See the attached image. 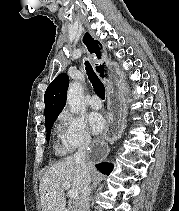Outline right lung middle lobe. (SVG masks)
I'll list each match as a JSON object with an SVG mask.
<instances>
[{
	"label": "right lung middle lobe",
	"mask_w": 179,
	"mask_h": 211,
	"mask_svg": "<svg viewBox=\"0 0 179 211\" xmlns=\"http://www.w3.org/2000/svg\"><path fill=\"white\" fill-rule=\"evenodd\" d=\"M56 118H57V116L46 120V131H47L46 138H47V140H49V138H50L51 128H52V125H53L54 121L56 120Z\"/></svg>",
	"instance_id": "obj_1"
}]
</instances>
